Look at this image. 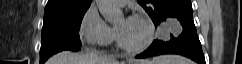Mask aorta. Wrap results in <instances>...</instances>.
<instances>
[{"instance_id": "1", "label": "aorta", "mask_w": 242, "mask_h": 64, "mask_svg": "<svg viewBox=\"0 0 242 64\" xmlns=\"http://www.w3.org/2000/svg\"><path fill=\"white\" fill-rule=\"evenodd\" d=\"M97 7L108 22H115L122 17V11L115 5L114 0H95Z\"/></svg>"}]
</instances>
